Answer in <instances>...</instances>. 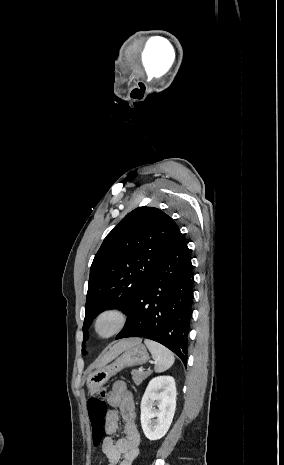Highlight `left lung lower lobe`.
I'll return each mask as SVG.
<instances>
[{
    "mask_svg": "<svg viewBox=\"0 0 284 465\" xmlns=\"http://www.w3.org/2000/svg\"><path fill=\"white\" fill-rule=\"evenodd\" d=\"M193 283L189 249L180 233L173 248L137 293L116 339L154 340L173 351L186 365Z\"/></svg>",
    "mask_w": 284,
    "mask_h": 465,
    "instance_id": "left-lung-lower-lobe-1",
    "label": "left lung lower lobe"
}]
</instances>
